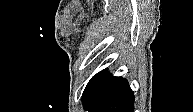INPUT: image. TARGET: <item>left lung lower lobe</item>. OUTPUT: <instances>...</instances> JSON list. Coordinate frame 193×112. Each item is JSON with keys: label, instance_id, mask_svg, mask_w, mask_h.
Segmentation results:
<instances>
[{"label": "left lung lower lobe", "instance_id": "left-lung-lower-lobe-1", "mask_svg": "<svg viewBox=\"0 0 193 112\" xmlns=\"http://www.w3.org/2000/svg\"><path fill=\"white\" fill-rule=\"evenodd\" d=\"M88 112H133L134 95L122 77H113L102 70L92 77L82 95Z\"/></svg>", "mask_w": 193, "mask_h": 112}]
</instances>
